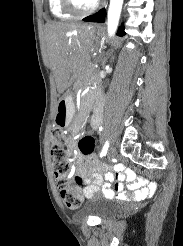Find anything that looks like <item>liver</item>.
Returning a JSON list of instances; mask_svg holds the SVG:
<instances>
[{
  "mask_svg": "<svg viewBox=\"0 0 183 246\" xmlns=\"http://www.w3.org/2000/svg\"><path fill=\"white\" fill-rule=\"evenodd\" d=\"M93 40V27L87 24L53 22L47 25V53L59 93L88 66Z\"/></svg>",
  "mask_w": 183,
  "mask_h": 246,
  "instance_id": "obj_1",
  "label": "liver"
}]
</instances>
